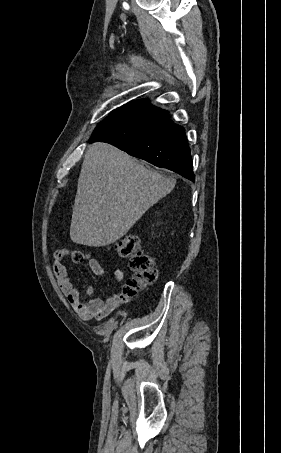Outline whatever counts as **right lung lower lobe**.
<instances>
[{
  "label": "right lung lower lobe",
  "mask_w": 281,
  "mask_h": 453,
  "mask_svg": "<svg viewBox=\"0 0 281 453\" xmlns=\"http://www.w3.org/2000/svg\"><path fill=\"white\" fill-rule=\"evenodd\" d=\"M107 142L128 154L194 181L184 128L148 99L132 101L101 121L89 142Z\"/></svg>",
  "instance_id": "98d812e1"
}]
</instances>
